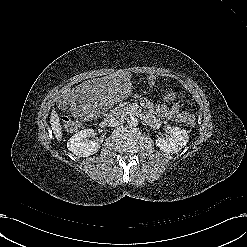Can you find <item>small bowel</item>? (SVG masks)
<instances>
[{
    "label": "small bowel",
    "instance_id": "small-bowel-1",
    "mask_svg": "<svg viewBox=\"0 0 247 247\" xmlns=\"http://www.w3.org/2000/svg\"><path fill=\"white\" fill-rule=\"evenodd\" d=\"M149 83H155V77H149ZM143 106L150 111V113L146 116L147 123L152 127H159L161 124V117L175 121L177 123H185L188 113L180 112L179 107L176 103H174V99L165 98V103L162 105L154 106L148 100H143Z\"/></svg>",
    "mask_w": 247,
    "mask_h": 247
}]
</instances>
